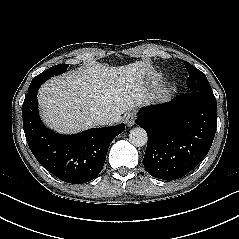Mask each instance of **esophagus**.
<instances>
[{"instance_id": "34e87169", "label": "esophagus", "mask_w": 239, "mask_h": 239, "mask_svg": "<svg viewBox=\"0 0 239 239\" xmlns=\"http://www.w3.org/2000/svg\"><path fill=\"white\" fill-rule=\"evenodd\" d=\"M124 122L127 127H132L135 124V114L130 112L126 115Z\"/></svg>"}]
</instances>
